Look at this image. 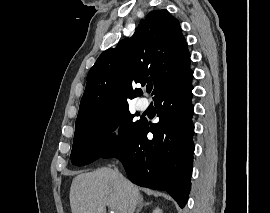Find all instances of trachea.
<instances>
[{
	"mask_svg": "<svg viewBox=\"0 0 270 213\" xmlns=\"http://www.w3.org/2000/svg\"><path fill=\"white\" fill-rule=\"evenodd\" d=\"M152 90V87H147V92L150 93Z\"/></svg>",
	"mask_w": 270,
	"mask_h": 213,
	"instance_id": "1",
	"label": "trachea"
}]
</instances>
